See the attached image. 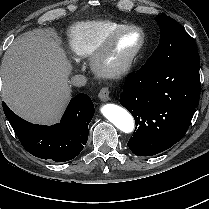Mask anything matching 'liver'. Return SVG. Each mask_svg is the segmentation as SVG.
Returning <instances> with one entry per match:
<instances>
[{"instance_id": "6515ba94", "label": "liver", "mask_w": 209, "mask_h": 209, "mask_svg": "<svg viewBox=\"0 0 209 209\" xmlns=\"http://www.w3.org/2000/svg\"><path fill=\"white\" fill-rule=\"evenodd\" d=\"M71 69L57 37L42 30L23 33L2 59L3 100L26 120L53 124L71 96Z\"/></svg>"}]
</instances>
